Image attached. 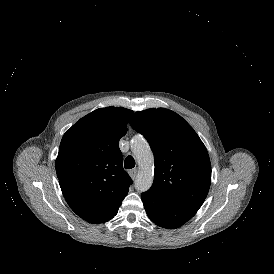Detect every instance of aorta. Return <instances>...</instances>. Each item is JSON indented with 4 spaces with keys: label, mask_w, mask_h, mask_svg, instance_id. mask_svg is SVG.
<instances>
[{
    "label": "aorta",
    "mask_w": 274,
    "mask_h": 274,
    "mask_svg": "<svg viewBox=\"0 0 274 274\" xmlns=\"http://www.w3.org/2000/svg\"><path fill=\"white\" fill-rule=\"evenodd\" d=\"M131 148L140 166V171L135 179V188L140 192H145L150 189L154 180V155L142 136L132 139Z\"/></svg>",
    "instance_id": "obj_1"
}]
</instances>
